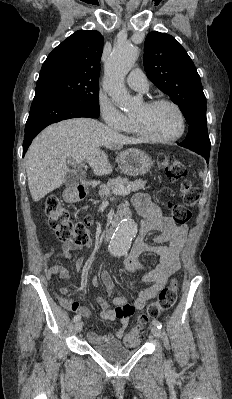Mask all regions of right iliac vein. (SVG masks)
Listing matches in <instances>:
<instances>
[{
	"label": "right iliac vein",
	"instance_id": "right-iliac-vein-1",
	"mask_svg": "<svg viewBox=\"0 0 232 399\" xmlns=\"http://www.w3.org/2000/svg\"><path fill=\"white\" fill-rule=\"evenodd\" d=\"M80 322H83V321H80ZM80 322L76 324L77 332H80L82 330V326L84 325V322H83V325Z\"/></svg>",
	"mask_w": 232,
	"mask_h": 399
}]
</instances>
